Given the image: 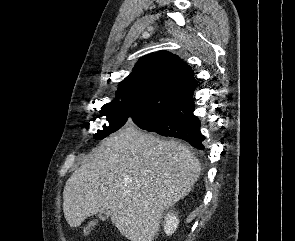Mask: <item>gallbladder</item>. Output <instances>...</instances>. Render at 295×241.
I'll list each match as a JSON object with an SVG mask.
<instances>
[{
    "label": "gallbladder",
    "instance_id": "gallbladder-1",
    "mask_svg": "<svg viewBox=\"0 0 295 241\" xmlns=\"http://www.w3.org/2000/svg\"><path fill=\"white\" fill-rule=\"evenodd\" d=\"M108 216H109V211L104 210L103 212L100 213L99 219L104 221L108 218Z\"/></svg>",
    "mask_w": 295,
    "mask_h": 241
}]
</instances>
